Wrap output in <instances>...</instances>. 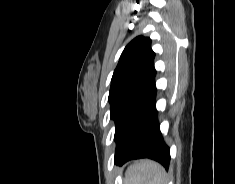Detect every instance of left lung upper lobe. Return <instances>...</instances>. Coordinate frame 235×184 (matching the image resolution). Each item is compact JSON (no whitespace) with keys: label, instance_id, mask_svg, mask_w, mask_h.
Listing matches in <instances>:
<instances>
[{"label":"left lung upper lobe","instance_id":"5c2ea615","mask_svg":"<svg viewBox=\"0 0 235 184\" xmlns=\"http://www.w3.org/2000/svg\"><path fill=\"white\" fill-rule=\"evenodd\" d=\"M155 53L151 39L138 36L123 50L113 73L108 101L115 121V156L127 143L136 121L155 93Z\"/></svg>","mask_w":235,"mask_h":184}]
</instances>
